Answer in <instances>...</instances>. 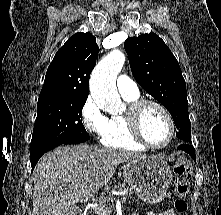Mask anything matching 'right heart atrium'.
Returning <instances> with one entry per match:
<instances>
[{"label":"right heart atrium","mask_w":221,"mask_h":215,"mask_svg":"<svg viewBox=\"0 0 221 215\" xmlns=\"http://www.w3.org/2000/svg\"><path fill=\"white\" fill-rule=\"evenodd\" d=\"M81 121L87 132L101 138L107 129L108 118L92 96H89L80 112Z\"/></svg>","instance_id":"right-heart-atrium-1"}]
</instances>
